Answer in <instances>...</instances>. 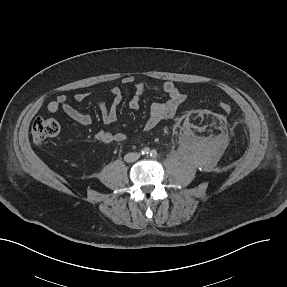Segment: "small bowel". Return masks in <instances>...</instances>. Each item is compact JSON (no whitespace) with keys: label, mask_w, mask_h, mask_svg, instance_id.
<instances>
[{"label":"small bowel","mask_w":287,"mask_h":287,"mask_svg":"<svg viewBox=\"0 0 287 287\" xmlns=\"http://www.w3.org/2000/svg\"><path fill=\"white\" fill-rule=\"evenodd\" d=\"M124 85L133 86L135 93L129 101V107L137 110L140 107L141 99L148 90L160 91L168 96L165 102H155L150 106L148 118L144 124V129L149 131L154 129L161 121L169 119L175 115L179 106L185 101V95L178 89L172 81L164 82L160 86H151L144 81H138L133 76H124L122 78ZM112 97L111 103L97 100L96 105L100 111L102 121L105 125H111L117 120V109L123 100L122 90L115 86L109 90ZM95 96L93 92L76 93L73 97L77 103H84L91 100ZM47 110L50 113L63 112L71 120L83 126L92 124L90 115L83 113L70 104L66 95H58L55 99L47 104ZM96 139L102 143H122L127 140V135L122 132H111L109 130H99L96 133Z\"/></svg>","instance_id":"c3829d8e"}]
</instances>
